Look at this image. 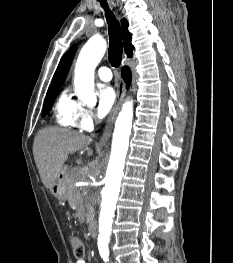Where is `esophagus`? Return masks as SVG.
<instances>
[{
	"label": "esophagus",
	"mask_w": 233,
	"mask_h": 263,
	"mask_svg": "<svg viewBox=\"0 0 233 263\" xmlns=\"http://www.w3.org/2000/svg\"><path fill=\"white\" fill-rule=\"evenodd\" d=\"M124 95H125V82L121 78L120 82H119V85H118V88H117L115 105H114L113 109L111 110V112L109 114V117H108V119L106 121L104 132H103V134H102V136L100 138V141H99V145L100 146H104L108 142V140H109V138L111 136L113 124H114V121H115L116 116L118 114V111L120 109V106H121V103L123 101Z\"/></svg>",
	"instance_id": "34e87169"
}]
</instances>
